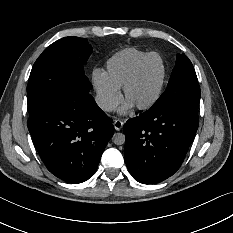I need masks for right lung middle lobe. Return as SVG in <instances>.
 I'll return each mask as SVG.
<instances>
[{"mask_svg": "<svg viewBox=\"0 0 233 233\" xmlns=\"http://www.w3.org/2000/svg\"><path fill=\"white\" fill-rule=\"evenodd\" d=\"M91 53L89 43L78 37H65L47 47L31 71L29 115L50 107L70 89L89 91L92 86L84 74L83 64Z\"/></svg>", "mask_w": 233, "mask_h": 233, "instance_id": "right-lung-middle-lobe-1", "label": "right lung middle lobe"}]
</instances>
